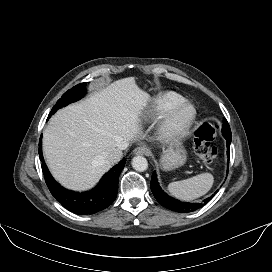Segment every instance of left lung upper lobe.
<instances>
[{"label":"left lung upper lobe","mask_w":272,"mask_h":272,"mask_svg":"<svg viewBox=\"0 0 272 272\" xmlns=\"http://www.w3.org/2000/svg\"><path fill=\"white\" fill-rule=\"evenodd\" d=\"M223 132H230L231 133V130L229 128V124L226 120H224V123H223V126H222V133Z\"/></svg>","instance_id":"obj_1"}]
</instances>
